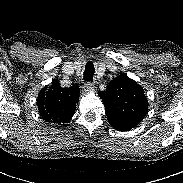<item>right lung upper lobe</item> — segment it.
Returning a JSON list of instances; mask_svg holds the SVG:
<instances>
[{
    "label": "right lung upper lobe",
    "instance_id": "right-lung-upper-lobe-1",
    "mask_svg": "<svg viewBox=\"0 0 183 183\" xmlns=\"http://www.w3.org/2000/svg\"><path fill=\"white\" fill-rule=\"evenodd\" d=\"M80 89L77 85L62 88L58 81L45 86L37 99L38 110L46 122L67 123L74 115L79 101Z\"/></svg>",
    "mask_w": 183,
    "mask_h": 183
}]
</instances>
